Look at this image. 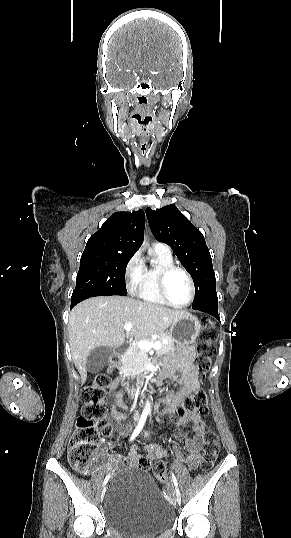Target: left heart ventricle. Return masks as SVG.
<instances>
[{
    "label": "left heart ventricle",
    "mask_w": 291,
    "mask_h": 538,
    "mask_svg": "<svg viewBox=\"0 0 291 538\" xmlns=\"http://www.w3.org/2000/svg\"><path fill=\"white\" fill-rule=\"evenodd\" d=\"M167 292L172 301L175 303H185L190 295V287L185 275L175 271L167 279Z\"/></svg>",
    "instance_id": "b2bd125f"
}]
</instances>
